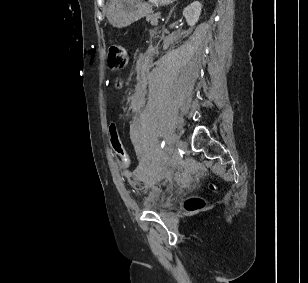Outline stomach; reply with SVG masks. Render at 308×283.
<instances>
[{"label":"stomach","mask_w":308,"mask_h":283,"mask_svg":"<svg viewBox=\"0 0 308 283\" xmlns=\"http://www.w3.org/2000/svg\"><path fill=\"white\" fill-rule=\"evenodd\" d=\"M174 0H110L107 19L116 28H124L147 16L152 5H168Z\"/></svg>","instance_id":"0dacf381"}]
</instances>
